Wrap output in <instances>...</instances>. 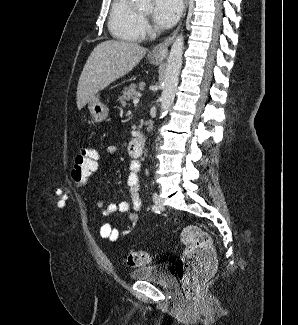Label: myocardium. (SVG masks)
Segmentation results:
<instances>
[{"label": "myocardium", "instance_id": "1", "mask_svg": "<svg viewBox=\"0 0 298 325\" xmlns=\"http://www.w3.org/2000/svg\"><path fill=\"white\" fill-rule=\"evenodd\" d=\"M139 3H140V1H137L134 4V10H135V13L137 15V22H138L137 32L140 34L141 37H145L146 36V32L142 31V29H141V23H142V20L147 17V14L148 13L147 12H144L140 8Z\"/></svg>", "mask_w": 298, "mask_h": 325}]
</instances>
